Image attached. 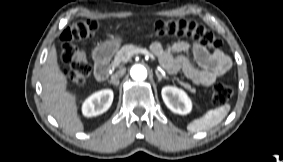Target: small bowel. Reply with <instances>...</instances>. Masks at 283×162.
<instances>
[{
    "mask_svg": "<svg viewBox=\"0 0 283 162\" xmlns=\"http://www.w3.org/2000/svg\"><path fill=\"white\" fill-rule=\"evenodd\" d=\"M152 52L158 57L161 65L171 73L182 71L187 78L199 86H210L218 77L231 68L230 58L221 50L209 52L202 44L179 41L166 48L161 41L151 45ZM191 53L197 65L188 57Z\"/></svg>",
    "mask_w": 283,
    "mask_h": 162,
    "instance_id": "obj_1",
    "label": "small bowel"
}]
</instances>
